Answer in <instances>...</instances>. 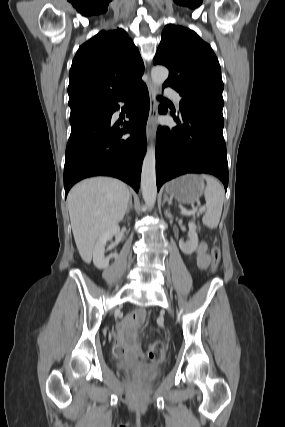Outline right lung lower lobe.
<instances>
[{
	"instance_id": "right-lung-lower-lobe-1",
	"label": "right lung lower lobe",
	"mask_w": 285,
	"mask_h": 427,
	"mask_svg": "<svg viewBox=\"0 0 285 427\" xmlns=\"http://www.w3.org/2000/svg\"><path fill=\"white\" fill-rule=\"evenodd\" d=\"M119 101L131 102L129 122L112 123ZM149 94L144 82L107 104L104 110L81 113L71 123L64 166L65 197L78 181L98 175L112 176L139 190L143 158L146 152V122ZM126 133L130 137L122 138Z\"/></svg>"
}]
</instances>
